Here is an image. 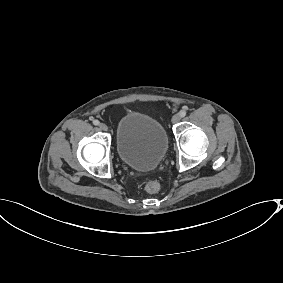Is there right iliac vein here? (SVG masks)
<instances>
[{
    "label": "right iliac vein",
    "mask_w": 283,
    "mask_h": 283,
    "mask_svg": "<svg viewBox=\"0 0 283 283\" xmlns=\"http://www.w3.org/2000/svg\"><path fill=\"white\" fill-rule=\"evenodd\" d=\"M99 127H100V129L103 130V131H107V130H108V126H107L106 124H104V123H101V124L99 125Z\"/></svg>",
    "instance_id": "obj_1"
}]
</instances>
